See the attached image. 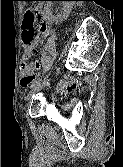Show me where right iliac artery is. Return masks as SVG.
Here are the masks:
<instances>
[{"label":"right iliac artery","instance_id":"1","mask_svg":"<svg viewBox=\"0 0 123 167\" xmlns=\"http://www.w3.org/2000/svg\"><path fill=\"white\" fill-rule=\"evenodd\" d=\"M40 79L39 80H37L36 82H34L32 85H31V88H34L37 84H39L40 83Z\"/></svg>","mask_w":123,"mask_h":167}]
</instances>
